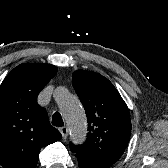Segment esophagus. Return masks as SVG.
<instances>
[{"label":"esophagus","instance_id":"esophagus-1","mask_svg":"<svg viewBox=\"0 0 168 168\" xmlns=\"http://www.w3.org/2000/svg\"><path fill=\"white\" fill-rule=\"evenodd\" d=\"M60 133L62 134V137L64 138V139H66L67 138V136H68V127L67 126H63V127H61L60 129Z\"/></svg>","mask_w":168,"mask_h":168}]
</instances>
